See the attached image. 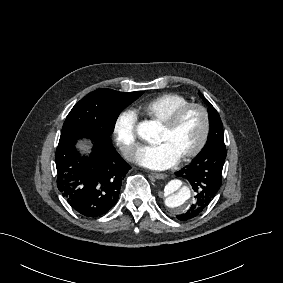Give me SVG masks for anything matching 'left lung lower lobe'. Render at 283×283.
<instances>
[{
    "label": "left lung lower lobe",
    "instance_id": "1",
    "mask_svg": "<svg viewBox=\"0 0 283 283\" xmlns=\"http://www.w3.org/2000/svg\"><path fill=\"white\" fill-rule=\"evenodd\" d=\"M225 158L224 142H209L190 165L176 173L186 178L196 193L195 203L186 213L177 215L179 220L195 218L207 208L221 187Z\"/></svg>",
    "mask_w": 283,
    "mask_h": 283
}]
</instances>
